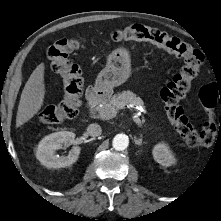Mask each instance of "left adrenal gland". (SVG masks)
Wrapping results in <instances>:
<instances>
[{
  "mask_svg": "<svg viewBox=\"0 0 221 221\" xmlns=\"http://www.w3.org/2000/svg\"><path fill=\"white\" fill-rule=\"evenodd\" d=\"M134 142H135L136 145L141 146L142 143H143L142 136H141V138H139V139H137V138L135 137V138H134Z\"/></svg>",
  "mask_w": 221,
  "mask_h": 221,
  "instance_id": "a2214340",
  "label": "left adrenal gland"
}]
</instances>
